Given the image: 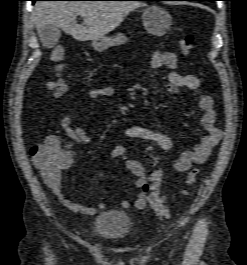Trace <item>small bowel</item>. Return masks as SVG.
<instances>
[{"label":"small bowel","mask_w":247,"mask_h":265,"mask_svg":"<svg viewBox=\"0 0 247 265\" xmlns=\"http://www.w3.org/2000/svg\"><path fill=\"white\" fill-rule=\"evenodd\" d=\"M177 64L178 59L174 53L162 51H156L153 53L151 67L153 69L166 68L169 70L166 80L167 85L172 92L178 93L181 89L191 91L199 89V78L192 74H181L177 72ZM115 94L116 90L112 86L93 88L89 91V96L92 99L112 97ZM197 106L203 111L201 124L207 132V135L199 144L195 145L191 150L182 152L174 160L173 168L178 172H187L193 164L204 163L222 139V131L215 124L217 113L214 107L213 97L207 94L200 95L197 99ZM73 111L74 109L71 108L62 116L59 122V127L71 140L80 144H88L91 141L90 135L83 128L73 125ZM124 134L128 138L149 141L162 150L168 151L173 148V141L168 135L139 125H129L125 128ZM44 143L46 146H53L61 149L60 139L55 135L47 136ZM62 150L67 156L68 163L66 169H68L74 162V155L68 150ZM34 162L42 171L46 184L63 206L74 212L85 215H94L106 207L105 203L102 202L98 203L96 206L88 207L70 200L63 191L62 182L64 171L50 172L42 168L35 159ZM126 167L135 177L134 185L139 189L138 197L134 203L135 207L139 210H144L149 202L147 193L150 190L145 168L141 162L133 159L126 161ZM120 205L122 208L128 209L131 206V203L128 200H122Z\"/></svg>","instance_id":"obj_1"}]
</instances>
